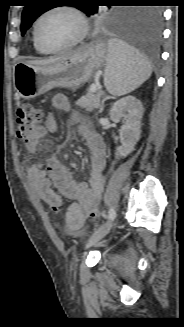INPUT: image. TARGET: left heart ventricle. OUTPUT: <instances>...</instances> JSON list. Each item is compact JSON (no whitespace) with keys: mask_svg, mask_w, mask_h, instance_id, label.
<instances>
[{"mask_svg":"<svg viewBox=\"0 0 184 327\" xmlns=\"http://www.w3.org/2000/svg\"><path fill=\"white\" fill-rule=\"evenodd\" d=\"M76 18L65 11H56L42 19L38 26L40 41L51 48L60 47L73 41L79 34Z\"/></svg>","mask_w":184,"mask_h":327,"instance_id":"left-heart-ventricle-1","label":"left heart ventricle"}]
</instances>
